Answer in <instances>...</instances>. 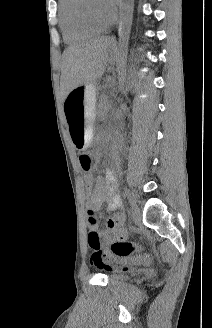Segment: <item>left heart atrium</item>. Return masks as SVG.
<instances>
[{
	"label": "left heart atrium",
	"mask_w": 212,
	"mask_h": 328,
	"mask_svg": "<svg viewBox=\"0 0 212 328\" xmlns=\"http://www.w3.org/2000/svg\"><path fill=\"white\" fill-rule=\"evenodd\" d=\"M104 4L112 11H114L117 0H103Z\"/></svg>",
	"instance_id": "obj_1"
}]
</instances>
